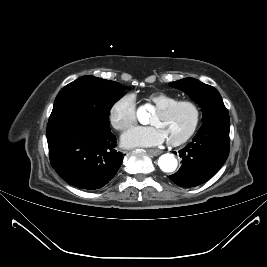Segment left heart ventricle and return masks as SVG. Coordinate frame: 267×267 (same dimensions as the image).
<instances>
[{
	"label": "left heart ventricle",
	"mask_w": 267,
	"mask_h": 267,
	"mask_svg": "<svg viewBox=\"0 0 267 267\" xmlns=\"http://www.w3.org/2000/svg\"><path fill=\"white\" fill-rule=\"evenodd\" d=\"M194 120V112L187 105L179 106L167 114L156 111L151 119V124L160 128L168 140L183 136L191 127Z\"/></svg>",
	"instance_id": "1"
}]
</instances>
